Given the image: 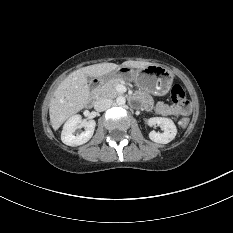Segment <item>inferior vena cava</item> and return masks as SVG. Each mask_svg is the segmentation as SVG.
I'll use <instances>...</instances> for the list:
<instances>
[{
	"mask_svg": "<svg viewBox=\"0 0 233 233\" xmlns=\"http://www.w3.org/2000/svg\"><path fill=\"white\" fill-rule=\"evenodd\" d=\"M112 105V100L111 99H107V98H101L95 101L94 103V109L96 111H104L108 108H110V106Z\"/></svg>",
	"mask_w": 233,
	"mask_h": 233,
	"instance_id": "602c4592",
	"label": "inferior vena cava"
}]
</instances>
